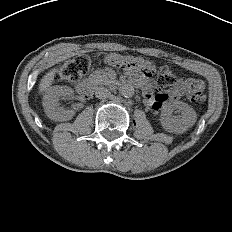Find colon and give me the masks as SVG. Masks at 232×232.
Masks as SVG:
<instances>
[{
    "instance_id": "obj_1",
    "label": "colon",
    "mask_w": 232,
    "mask_h": 232,
    "mask_svg": "<svg viewBox=\"0 0 232 232\" xmlns=\"http://www.w3.org/2000/svg\"><path fill=\"white\" fill-rule=\"evenodd\" d=\"M92 66V59L88 55H80L70 59L56 72L58 81H76L87 74ZM176 82L175 74L168 68L162 67L157 73V83L160 89H167ZM187 98L195 104L204 101V85L199 80L186 81Z\"/></svg>"
}]
</instances>
